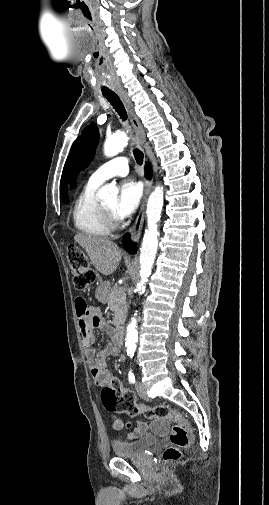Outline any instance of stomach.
I'll return each instance as SVG.
<instances>
[{
  "label": "stomach",
  "instance_id": "obj_1",
  "mask_svg": "<svg viewBox=\"0 0 269 505\" xmlns=\"http://www.w3.org/2000/svg\"><path fill=\"white\" fill-rule=\"evenodd\" d=\"M110 290L109 282H103L97 289V296L101 301H105V298Z\"/></svg>",
  "mask_w": 269,
  "mask_h": 505
}]
</instances>
